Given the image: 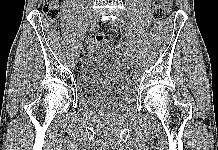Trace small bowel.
<instances>
[{
  "mask_svg": "<svg viewBox=\"0 0 218 150\" xmlns=\"http://www.w3.org/2000/svg\"><path fill=\"white\" fill-rule=\"evenodd\" d=\"M168 10L172 7V0H163Z\"/></svg>",
  "mask_w": 218,
  "mask_h": 150,
  "instance_id": "obj_1",
  "label": "small bowel"
}]
</instances>
